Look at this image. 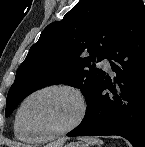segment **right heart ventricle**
Here are the masks:
<instances>
[{
	"label": "right heart ventricle",
	"instance_id": "1",
	"mask_svg": "<svg viewBox=\"0 0 145 147\" xmlns=\"http://www.w3.org/2000/svg\"><path fill=\"white\" fill-rule=\"evenodd\" d=\"M14 129H15V135L17 136V138H19L22 141H26V142L32 141L30 137L24 132H22L21 130H19L16 125L14 126Z\"/></svg>",
	"mask_w": 145,
	"mask_h": 147
}]
</instances>
